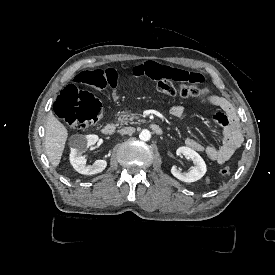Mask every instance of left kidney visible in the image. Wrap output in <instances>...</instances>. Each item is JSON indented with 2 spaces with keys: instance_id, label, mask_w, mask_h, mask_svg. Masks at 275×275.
Here are the masks:
<instances>
[{
  "instance_id": "left-kidney-1",
  "label": "left kidney",
  "mask_w": 275,
  "mask_h": 275,
  "mask_svg": "<svg viewBox=\"0 0 275 275\" xmlns=\"http://www.w3.org/2000/svg\"><path fill=\"white\" fill-rule=\"evenodd\" d=\"M177 155H184L188 159H191L194 163V167L189 172L182 173L177 169L176 166H172L171 168V173L173 174L174 177L177 179L183 181V182H195L199 179H201L205 173H206V164L203 160V158L193 149L189 147H179L176 151Z\"/></svg>"
}]
</instances>
